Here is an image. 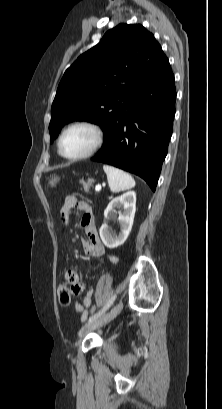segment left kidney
I'll use <instances>...</instances> for the list:
<instances>
[{
    "mask_svg": "<svg viewBox=\"0 0 222 409\" xmlns=\"http://www.w3.org/2000/svg\"><path fill=\"white\" fill-rule=\"evenodd\" d=\"M114 208L123 209V212H119L118 221L121 225V232L118 236L112 234L109 226L104 223L100 229V237L104 245L108 248H116L122 245L128 238L136 211V194L134 191H128L119 197L111 200L107 208L104 211V218L106 220L114 218L116 215L113 211Z\"/></svg>",
    "mask_w": 222,
    "mask_h": 409,
    "instance_id": "obj_1",
    "label": "left kidney"
}]
</instances>
